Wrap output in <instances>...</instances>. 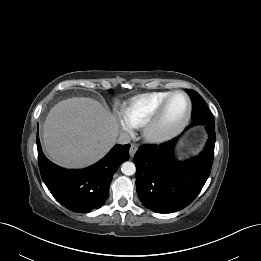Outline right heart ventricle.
I'll list each match as a JSON object with an SVG mask.
<instances>
[{
  "label": "right heart ventricle",
  "instance_id": "e07e8e85",
  "mask_svg": "<svg viewBox=\"0 0 261 261\" xmlns=\"http://www.w3.org/2000/svg\"><path fill=\"white\" fill-rule=\"evenodd\" d=\"M168 91L151 92L138 95L122 106V114L131 128L143 127L155 114Z\"/></svg>",
  "mask_w": 261,
  "mask_h": 261
}]
</instances>
